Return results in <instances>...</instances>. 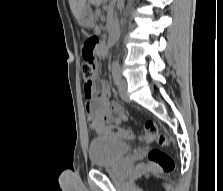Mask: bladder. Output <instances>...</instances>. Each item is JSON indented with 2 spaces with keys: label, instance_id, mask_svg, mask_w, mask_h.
<instances>
[{
  "label": "bladder",
  "instance_id": "1",
  "mask_svg": "<svg viewBox=\"0 0 223 191\" xmlns=\"http://www.w3.org/2000/svg\"><path fill=\"white\" fill-rule=\"evenodd\" d=\"M130 150L131 145L123 139L100 136L90 141L88 156L91 166L101 168L121 162Z\"/></svg>",
  "mask_w": 223,
  "mask_h": 191
}]
</instances>
